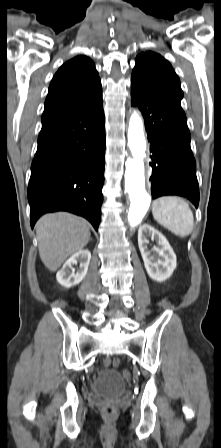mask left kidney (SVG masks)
I'll list each match as a JSON object with an SVG mask.
<instances>
[{"instance_id":"5707ae66","label":"left kidney","mask_w":221,"mask_h":448,"mask_svg":"<svg viewBox=\"0 0 221 448\" xmlns=\"http://www.w3.org/2000/svg\"><path fill=\"white\" fill-rule=\"evenodd\" d=\"M148 237L157 242V247L148 249ZM138 245L148 275L157 282H163L174 272L176 255L165 236L149 224L138 231Z\"/></svg>"}]
</instances>
